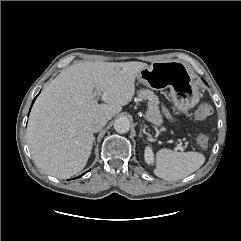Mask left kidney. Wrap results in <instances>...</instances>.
<instances>
[{
	"instance_id": "5707ae66",
	"label": "left kidney",
	"mask_w": 241,
	"mask_h": 241,
	"mask_svg": "<svg viewBox=\"0 0 241 241\" xmlns=\"http://www.w3.org/2000/svg\"><path fill=\"white\" fill-rule=\"evenodd\" d=\"M144 158L147 164H153L154 162V155L151 147L145 148Z\"/></svg>"
}]
</instances>
